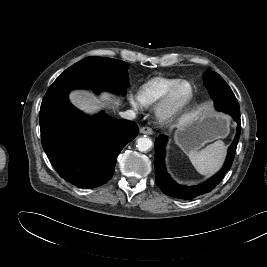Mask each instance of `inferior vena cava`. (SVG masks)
I'll list each match as a JSON object with an SVG mask.
<instances>
[{
  "label": "inferior vena cava",
  "mask_w": 267,
  "mask_h": 267,
  "mask_svg": "<svg viewBox=\"0 0 267 267\" xmlns=\"http://www.w3.org/2000/svg\"><path fill=\"white\" fill-rule=\"evenodd\" d=\"M120 116L127 120H133L136 117V113L133 110H127L119 113Z\"/></svg>",
  "instance_id": "inferior-vena-cava-1"
}]
</instances>
